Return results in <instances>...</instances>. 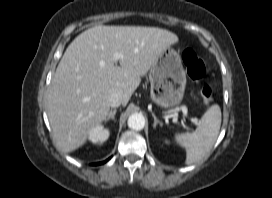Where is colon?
<instances>
[{
    "label": "colon",
    "instance_id": "1",
    "mask_svg": "<svg viewBox=\"0 0 272 198\" xmlns=\"http://www.w3.org/2000/svg\"><path fill=\"white\" fill-rule=\"evenodd\" d=\"M182 60L186 71L193 80L201 81L206 76V67L201 58L192 49H186L182 53ZM201 100L204 103H209L213 99V90L211 86L204 85L199 91Z\"/></svg>",
    "mask_w": 272,
    "mask_h": 198
}]
</instances>
